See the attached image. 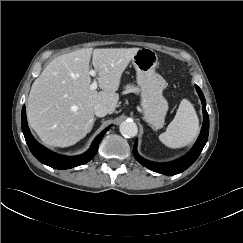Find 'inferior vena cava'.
<instances>
[{
  "label": "inferior vena cava",
  "instance_id": "602c4592",
  "mask_svg": "<svg viewBox=\"0 0 243 243\" xmlns=\"http://www.w3.org/2000/svg\"><path fill=\"white\" fill-rule=\"evenodd\" d=\"M94 113L97 117H104L108 114V108L104 104H96L94 106Z\"/></svg>",
  "mask_w": 243,
  "mask_h": 243
}]
</instances>
